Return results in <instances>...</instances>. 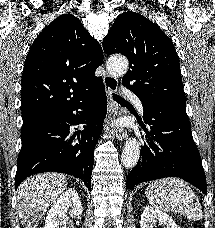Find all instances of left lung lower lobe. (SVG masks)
Segmentation results:
<instances>
[{
  "mask_svg": "<svg viewBox=\"0 0 215 228\" xmlns=\"http://www.w3.org/2000/svg\"><path fill=\"white\" fill-rule=\"evenodd\" d=\"M144 121L150 126L141 157L127 177V189L142 182L179 177L205 195L206 178L199 151L193 141L186 103L142 101Z\"/></svg>",
  "mask_w": 215,
  "mask_h": 228,
  "instance_id": "obj_1",
  "label": "left lung lower lobe"
}]
</instances>
